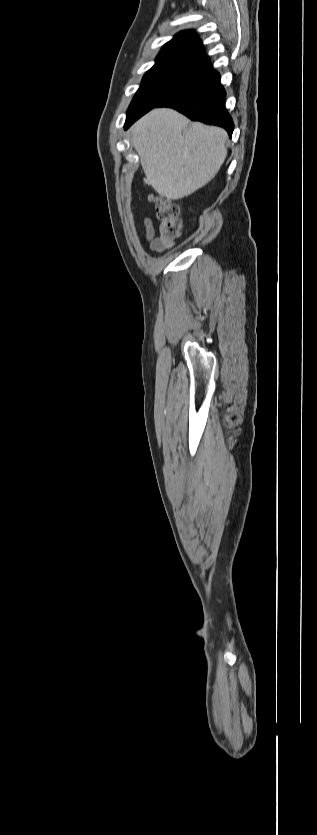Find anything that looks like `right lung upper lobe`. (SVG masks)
<instances>
[{
    "mask_svg": "<svg viewBox=\"0 0 317 835\" xmlns=\"http://www.w3.org/2000/svg\"><path fill=\"white\" fill-rule=\"evenodd\" d=\"M204 54L202 42L194 31L180 32L163 46L153 67L191 60Z\"/></svg>",
    "mask_w": 317,
    "mask_h": 835,
    "instance_id": "obj_1",
    "label": "right lung upper lobe"
}]
</instances>
